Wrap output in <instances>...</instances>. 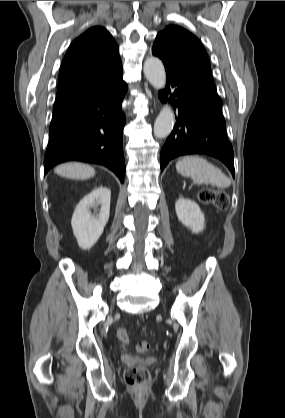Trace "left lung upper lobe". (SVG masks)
<instances>
[{
	"label": "left lung upper lobe",
	"instance_id": "5c2ea615",
	"mask_svg": "<svg viewBox=\"0 0 285 418\" xmlns=\"http://www.w3.org/2000/svg\"><path fill=\"white\" fill-rule=\"evenodd\" d=\"M155 41L163 44L180 60L213 81L207 52L192 33L182 27L169 25L157 35Z\"/></svg>",
	"mask_w": 285,
	"mask_h": 418
}]
</instances>
